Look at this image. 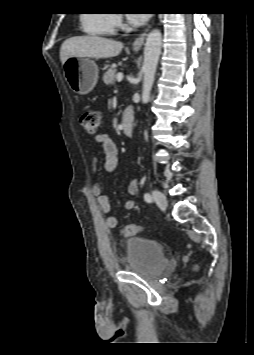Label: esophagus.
I'll list each match as a JSON object with an SVG mask.
<instances>
[{
  "label": "esophagus",
  "instance_id": "esophagus-1",
  "mask_svg": "<svg viewBox=\"0 0 254 355\" xmlns=\"http://www.w3.org/2000/svg\"><path fill=\"white\" fill-rule=\"evenodd\" d=\"M147 30L144 33H142L138 38H136L135 41L133 42L132 48L134 50H139L142 47Z\"/></svg>",
  "mask_w": 254,
  "mask_h": 355
}]
</instances>
